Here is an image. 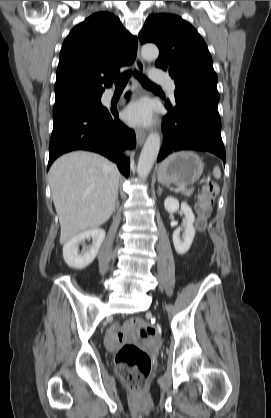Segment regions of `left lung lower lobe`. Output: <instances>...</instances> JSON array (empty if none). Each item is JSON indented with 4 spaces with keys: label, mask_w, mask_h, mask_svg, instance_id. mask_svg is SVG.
Masks as SVG:
<instances>
[{
    "label": "left lung lower lobe",
    "mask_w": 271,
    "mask_h": 418,
    "mask_svg": "<svg viewBox=\"0 0 271 418\" xmlns=\"http://www.w3.org/2000/svg\"><path fill=\"white\" fill-rule=\"evenodd\" d=\"M176 105L166 103L168 114L163 118V144L157 161L180 150L205 151L226 161L221 138L218 101L192 92L175 94Z\"/></svg>",
    "instance_id": "obj_1"
}]
</instances>
